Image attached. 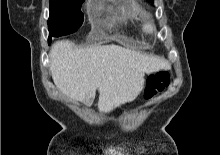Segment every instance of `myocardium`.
<instances>
[{
  "label": "myocardium",
  "instance_id": "1",
  "mask_svg": "<svg viewBox=\"0 0 220 155\" xmlns=\"http://www.w3.org/2000/svg\"><path fill=\"white\" fill-rule=\"evenodd\" d=\"M141 29L147 33V34H152L156 31L157 27L156 24L154 22V20L149 17V16H145L142 20H141Z\"/></svg>",
  "mask_w": 220,
  "mask_h": 155
}]
</instances>
